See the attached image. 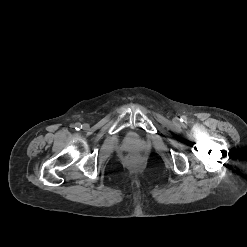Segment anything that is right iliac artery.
Instances as JSON below:
<instances>
[{
    "instance_id": "obj_1",
    "label": "right iliac artery",
    "mask_w": 247,
    "mask_h": 247,
    "mask_svg": "<svg viewBox=\"0 0 247 247\" xmlns=\"http://www.w3.org/2000/svg\"><path fill=\"white\" fill-rule=\"evenodd\" d=\"M74 127L76 130H80L82 128V125L80 123H76Z\"/></svg>"
}]
</instances>
